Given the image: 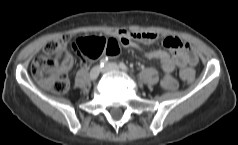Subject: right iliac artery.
Here are the masks:
<instances>
[{"label":"right iliac artery","mask_w":238,"mask_h":145,"mask_svg":"<svg viewBox=\"0 0 238 145\" xmlns=\"http://www.w3.org/2000/svg\"><path fill=\"white\" fill-rule=\"evenodd\" d=\"M107 62H108V58L107 57L106 58H102L100 60V67H104L107 64Z\"/></svg>","instance_id":"obj_1"}]
</instances>
